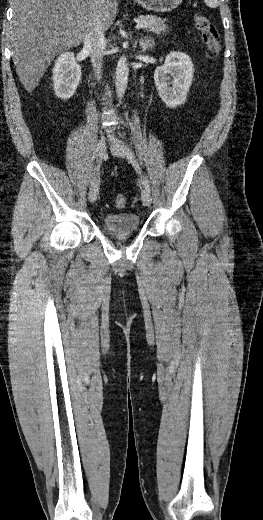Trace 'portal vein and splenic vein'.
Instances as JSON below:
<instances>
[{
	"label": "portal vein and splenic vein",
	"mask_w": 263,
	"mask_h": 520,
	"mask_svg": "<svg viewBox=\"0 0 263 520\" xmlns=\"http://www.w3.org/2000/svg\"><path fill=\"white\" fill-rule=\"evenodd\" d=\"M66 19L71 20L72 17L70 15H67ZM142 27H143V23L142 22H138L137 25H136V29H140Z\"/></svg>",
	"instance_id": "18ae733b"
}]
</instances>
